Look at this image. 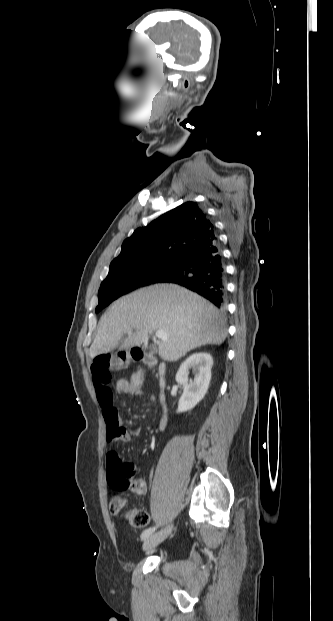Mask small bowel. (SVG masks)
Returning <instances> with one entry per match:
<instances>
[{
  "label": "small bowel",
  "instance_id": "small-bowel-1",
  "mask_svg": "<svg viewBox=\"0 0 333 621\" xmlns=\"http://www.w3.org/2000/svg\"><path fill=\"white\" fill-rule=\"evenodd\" d=\"M113 359L109 353H100L94 357L91 365L92 379L97 395L98 402L102 409L103 418L106 424L107 435V467L108 471L114 468L128 467L131 469V491L138 495L146 492L147 486L143 479L134 477L136 466L128 461H124L120 454L115 450L116 445L126 443L130 439L129 429L122 424L121 418L114 403L113 392L111 389L110 369ZM117 391L130 395L126 380L117 382ZM146 392L141 388L135 396L145 395ZM151 399H156L154 394H148ZM135 435H139L140 430L135 429ZM116 498V497H114ZM112 498V500L114 499ZM111 500V501H112Z\"/></svg>",
  "mask_w": 333,
  "mask_h": 621
}]
</instances>
